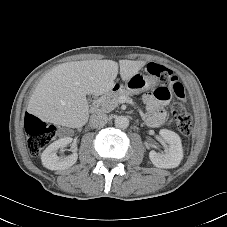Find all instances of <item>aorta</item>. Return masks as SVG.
Masks as SVG:
<instances>
[{"label":"aorta","mask_w":227,"mask_h":227,"mask_svg":"<svg viewBox=\"0 0 227 227\" xmlns=\"http://www.w3.org/2000/svg\"><path fill=\"white\" fill-rule=\"evenodd\" d=\"M115 126L120 129H126L129 126V119L126 116H117Z\"/></svg>","instance_id":"obj_1"}]
</instances>
